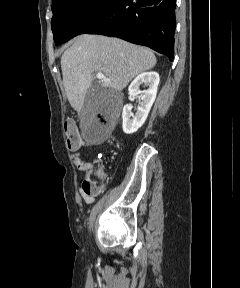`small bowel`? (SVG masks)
I'll return each mask as SVG.
<instances>
[{
    "instance_id": "c3829d8e",
    "label": "small bowel",
    "mask_w": 240,
    "mask_h": 288,
    "mask_svg": "<svg viewBox=\"0 0 240 288\" xmlns=\"http://www.w3.org/2000/svg\"><path fill=\"white\" fill-rule=\"evenodd\" d=\"M73 154L71 156V160L73 164L76 166L78 171H84L86 173L92 172L94 170L95 164L93 162H86L81 159V150L76 149L73 150ZM81 197L88 203L93 201V196H88L84 194V192L80 191Z\"/></svg>"
}]
</instances>
